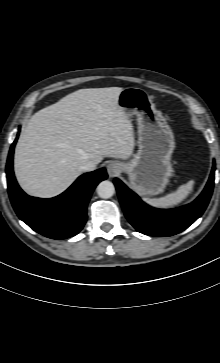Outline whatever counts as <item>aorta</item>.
<instances>
[{
    "mask_svg": "<svg viewBox=\"0 0 220 363\" xmlns=\"http://www.w3.org/2000/svg\"><path fill=\"white\" fill-rule=\"evenodd\" d=\"M97 193L99 197L104 199L112 197L115 193L114 184L108 180L100 182L97 186Z\"/></svg>",
    "mask_w": 220,
    "mask_h": 363,
    "instance_id": "762f6f07",
    "label": "aorta"
}]
</instances>
